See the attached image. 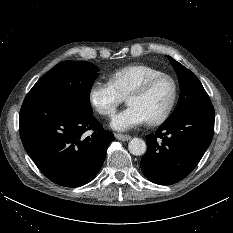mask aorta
<instances>
[{"mask_svg":"<svg viewBox=\"0 0 233 233\" xmlns=\"http://www.w3.org/2000/svg\"><path fill=\"white\" fill-rule=\"evenodd\" d=\"M128 149L131 154L140 156L146 152V143L140 138H133L128 144Z\"/></svg>","mask_w":233,"mask_h":233,"instance_id":"aorta-1","label":"aorta"}]
</instances>
